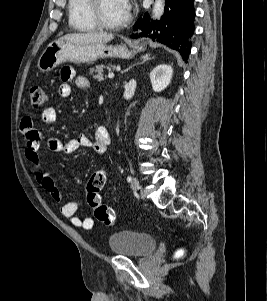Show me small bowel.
<instances>
[{
    "label": "small bowel",
    "mask_w": 267,
    "mask_h": 301,
    "mask_svg": "<svg viewBox=\"0 0 267 301\" xmlns=\"http://www.w3.org/2000/svg\"><path fill=\"white\" fill-rule=\"evenodd\" d=\"M60 78L62 83L58 87V94L62 98L71 96L72 88L69 82L73 79L79 89L85 90L90 87V82L87 77L76 76L74 70L68 67L61 70ZM40 117L44 123H53L56 120V111L53 107H45L41 111ZM20 130L25 137V156L33 166L36 181L56 202L60 201L61 196L49 173L43 170L39 157L41 142L44 140L51 151L64 154H71L82 147L91 148L97 154H103L110 144V136L104 126H99L95 129L92 140L85 134H79L74 139L66 142L56 137H43L42 134L35 129L31 116H25L21 119ZM80 205V200L65 202L60 206V212L65 218L69 219L75 227L91 229L94 223L92 218H80L76 215Z\"/></svg>",
    "instance_id": "small-bowel-1"
}]
</instances>
